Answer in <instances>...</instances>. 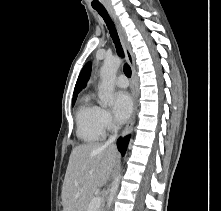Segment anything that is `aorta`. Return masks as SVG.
<instances>
[{"mask_svg": "<svg viewBox=\"0 0 221 211\" xmlns=\"http://www.w3.org/2000/svg\"><path fill=\"white\" fill-rule=\"evenodd\" d=\"M121 60L118 57L108 58L104 61L101 70V84L99 85V104L103 107L111 106L114 101V82ZM121 174L119 173L112 184L110 195L107 200V210L110 209L114 196L117 192Z\"/></svg>", "mask_w": 221, "mask_h": 211, "instance_id": "aorta-1", "label": "aorta"}]
</instances>
